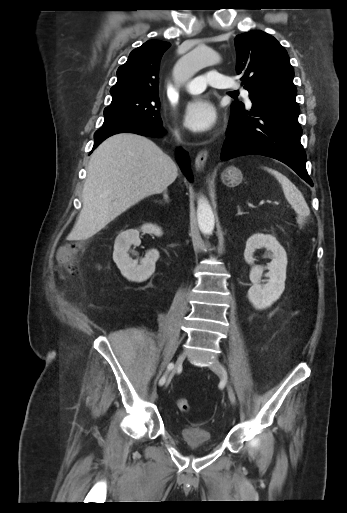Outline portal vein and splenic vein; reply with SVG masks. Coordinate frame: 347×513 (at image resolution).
Listing matches in <instances>:
<instances>
[{"label": "portal vein and splenic vein", "mask_w": 347, "mask_h": 513, "mask_svg": "<svg viewBox=\"0 0 347 513\" xmlns=\"http://www.w3.org/2000/svg\"><path fill=\"white\" fill-rule=\"evenodd\" d=\"M263 203H264L263 201H261V202H260V204H261V205H262ZM273 203L277 204V202H273Z\"/></svg>", "instance_id": "obj_1"}]
</instances>
